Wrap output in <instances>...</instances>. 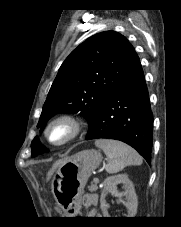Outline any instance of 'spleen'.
Returning <instances> with one entry per match:
<instances>
[{"instance_id": "1", "label": "spleen", "mask_w": 181, "mask_h": 227, "mask_svg": "<svg viewBox=\"0 0 181 227\" xmlns=\"http://www.w3.org/2000/svg\"><path fill=\"white\" fill-rule=\"evenodd\" d=\"M95 145L110 159L105 169L109 174L117 173L129 165H141L142 157L130 146L111 139H99Z\"/></svg>"}]
</instances>
